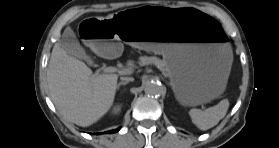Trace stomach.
Wrapping results in <instances>:
<instances>
[{
  "mask_svg": "<svg viewBox=\"0 0 279 148\" xmlns=\"http://www.w3.org/2000/svg\"><path fill=\"white\" fill-rule=\"evenodd\" d=\"M77 37L86 48L114 58L123 44L162 54L176 99L196 106L225 90L232 61L227 30L209 15L193 8L125 10L107 19L84 18Z\"/></svg>",
  "mask_w": 279,
  "mask_h": 148,
  "instance_id": "1",
  "label": "stomach"
}]
</instances>
